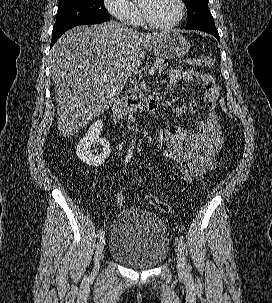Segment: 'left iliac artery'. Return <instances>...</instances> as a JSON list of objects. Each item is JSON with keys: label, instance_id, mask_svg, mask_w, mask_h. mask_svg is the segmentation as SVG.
Returning a JSON list of instances; mask_svg holds the SVG:
<instances>
[{"label": "left iliac artery", "instance_id": "left-iliac-artery-1", "mask_svg": "<svg viewBox=\"0 0 272 303\" xmlns=\"http://www.w3.org/2000/svg\"><path fill=\"white\" fill-rule=\"evenodd\" d=\"M179 244H180V246L182 247V249L185 251V253L187 255L188 254V252H187V246H186V243L184 242V240H183L182 237L179 238Z\"/></svg>", "mask_w": 272, "mask_h": 303}]
</instances>
